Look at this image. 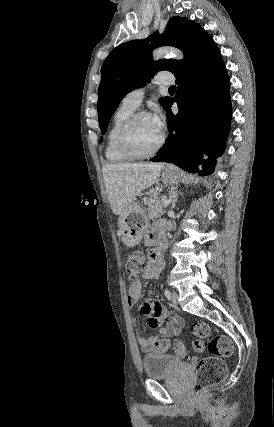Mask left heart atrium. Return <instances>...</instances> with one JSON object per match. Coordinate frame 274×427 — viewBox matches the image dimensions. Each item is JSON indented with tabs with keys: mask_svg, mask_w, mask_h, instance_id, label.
<instances>
[{
	"mask_svg": "<svg viewBox=\"0 0 274 427\" xmlns=\"http://www.w3.org/2000/svg\"><path fill=\"white\" fill-rule=\"evenodd\" d=\"M149 116L151 118L153 125L156 127V129L163 132L164 120H163L162 113L159 110H156L153 114H150Z\"/></svg>",
	"mask_w": 274,
	"mask_h": 427,
	"instance_id": "obj_1",
	"label": "left heart atrium"
}]
</instances>
